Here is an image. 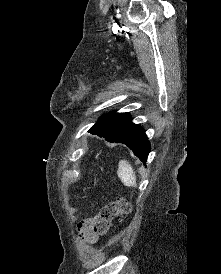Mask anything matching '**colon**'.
<instances>
[{"label": "colon", "mask_w": 221, "mask_h": 274, "mask_svg": "<svg viewBox=\"0 0 221 274\" xmlns=\"http://www.w3.org/2000/svg\"><path fill=\"white\" fill-rule=\"evenodd\" d=\"M131 211V204L124 198H118L114 202L104 206L100 212L97 226L99 234L106 235L115 219H120Z\"/></svg>", "instance_id": "colon-1"}]
</instances>
